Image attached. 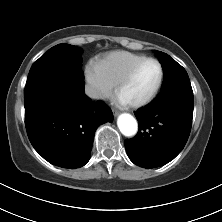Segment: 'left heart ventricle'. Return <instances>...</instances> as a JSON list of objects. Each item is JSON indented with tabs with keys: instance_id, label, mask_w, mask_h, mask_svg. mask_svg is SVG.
Listing matches in <instances>:
<instances>
[{
	"instance_id": "1",
	"label": "left heart ventricle",
	"mask_w": 222,
	"mask_h": 222,
	"mask_svg": "<svg viewBox=\"0 0 222 222\" xmlns=\"http://www.w3.org/2000/svg\"><path fill=\"white\" fill-rule=\"evenodd\" d=\"M158 77V66L153 62H147L138 69L131 82L120 92L119 96L127 103L141 101L154 89Z\"/></svg>"
}]
</instances>
